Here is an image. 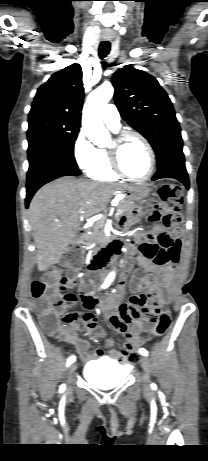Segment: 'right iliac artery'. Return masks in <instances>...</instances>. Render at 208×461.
<instances>
[{
	"label": "right iliac artery",
	"mask_w": 208,
	"mask_h": 461,
	"mask_svg": "<svg viewBox=\"0 0 208 461\" xmlns=\"http://www.w3.org/2000/svg\"><path fill=\"white\" fill-rule=\"evenodd\" d=\"M75 361V356H70L67 360V366H69L70 364H72L73 362ZM65 388V385H61L60 386V391H62L63 389Z\"/></svg>",
	"instance_id": "82829eb1"
}]
</instances>
